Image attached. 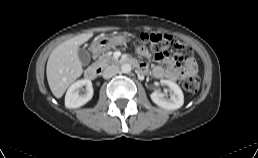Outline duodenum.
Instances as JSON below:
<instances>
[{
  "label": "duodenum",
  "mask_w": 258,
  "mask_h": 158,
  "mask_svg": "<svg viewBox=\"0 0 258 158\" xmlns=\"http://www.w3.org/2000/svg\"><path fill=\"white\" fill-rule=\"evenodd\" d=\"M99 52L98 49H95L93 51L94 54H97ZM120 64H127L131 65L133 67L139 68L140 69V64L137 62V60L133 58H128L126 60H119L118 61ZM102 73V68L97 65L89 66L88 68L85 69L84 71V76L88 80H94L96 79L100 74Z\"/></svg>",
  "instance_id": "1"
}]
</instances>
